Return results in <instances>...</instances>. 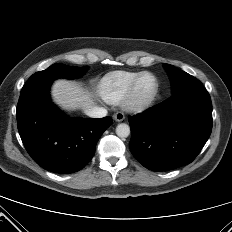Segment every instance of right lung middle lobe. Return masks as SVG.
Instances as JSON below:
<instances>
[{
  "mask_svg": "<svg viewBox=\"0 0 232 232\" xmlns=\"http://www.w3.org/2000/svg\"><path fill=\"white\" fill-rule=\"evenodd\" d=\"M87 69L85 67H72L64 64L51 65L46 70L33 74L22 88L21 92H25L37 85L52 83L57 78L73 79L81 76Z\"/></svg>",
  "mask_w": 232,
  "mask_h": 232,
  "instance_id": "right-lung-middle-lobe-1",
  "label": "right lung middle lobe"
}]
</instances>
